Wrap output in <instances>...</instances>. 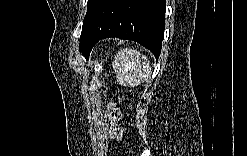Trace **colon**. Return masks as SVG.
I'll return each instance as SVG.
<instances>
[{
    "instance_id": "colon-1",
    "label": "colon",
    "mask_w": 247,
    "mask_h": 156,
    "mask_svg": "<svg viewBox=\"0 0 247 156\" xmlns=\"http://www.w3.org/2000/svg\"><path fill=\"white\" fill-rule=\"evenodd\" d=\"M123 100H124V97H123L122 94H120V95L118 96V102H119V105H120L119 109L122 108ZM117 109H118V108H117ZM119 109H118V110H119Z\"/></svg>"
}]
</instances>
